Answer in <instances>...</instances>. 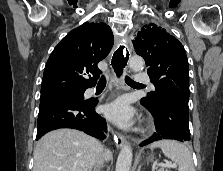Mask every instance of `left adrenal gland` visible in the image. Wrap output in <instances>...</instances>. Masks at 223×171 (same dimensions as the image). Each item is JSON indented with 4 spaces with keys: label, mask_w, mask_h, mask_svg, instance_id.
<instances>
[{
    "label": "left adrenal gland",
    "mask_w": 223,
    "mask_h": 171,
    "mask_svg": "<svg viewBox=\"0 0 223 171\" xmlns=\"http://www.w3.org/2000/svg\"><path fill=\"white\" fill-rule=\"evenodd\" d=\"M137 171H141V165H139L138 170Z\"/></svg>",
    "instance_id": "left-adrenal-gland-1"
}]
</instances>
